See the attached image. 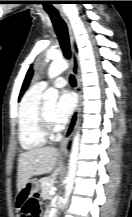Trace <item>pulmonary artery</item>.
<instances>
[{
	"label": "pulmonary artery",
	"mask_w": 132,
	"mask_h": 217,
	"mask_svg": "<svg viewBox=\"0 0 132 217\" xmlns=\"http://www.w3.org/2000/svg\"><path fill=\"white\" fill-rule=\"evenodd\" d=\"M66 83H67L66 80L62 77H58L53 81V85L58 88L64 87ZM36 85H38L42 89H45L49 85V82L41 81V82H38Z\"/></svg>",
	"instance_id": "pulmonary-artery-1"
}]
</instances>
